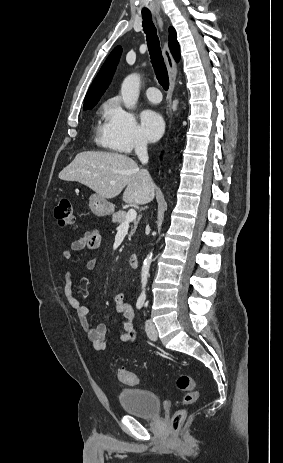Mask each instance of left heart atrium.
Here are the masks:
<instances>
[{"instance_id":"1","label":"left heart atrium","mask_w":283,"mask_h":463,"mask_svg":"<svg viewBox=\"0 0 283 463\" xmlns=\"http://www.w3.org/2000/svg\"><path fill=\"white\" fill-rule=\"evenodd\" d=\"M141 133L150 142L158 140L164 132V121L160 114L146 110L141 115Z\"/></svg>"}]
</instances>
